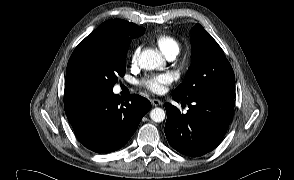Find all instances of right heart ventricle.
I'll return each mask as SVG.
<instances>
[{
  "mask_svg": "<svg viewBox=\"0 0 294 180\" xmlns=\"http://www.w3.org/2000/svg\"><path fill=\"white\" fill-rule=\"evenodd\" d=\"M154 43L165 57L170 54L177 55L180 51V45L178 41L169 35L158 36L154 40Z\"/></svg>",
  "mask_w": 294,
  "mask_h": 180,
  "instance_id": "right-heart-ventricle-1",
  "label": "right heart ventricle"
}]
</instances>
